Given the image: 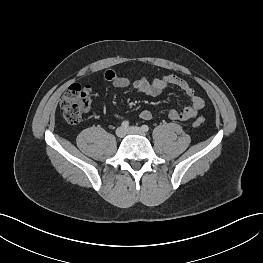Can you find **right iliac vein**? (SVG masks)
Instances as JSON below:
<instances>
[{"instance_id":"1","label":"right iliac vein","mask_w":263,"mask_h":263,"mask_svg":"<svg viewBox=\"0 0 263 263\" xmlns=\"http://www.w3.org/2000/svg\"><path fill=\"white\" fill-rule=\"evenodd\" d=\"M126 134V131L123 127H119L116 129V136L119 138H123Z\"/></svg>"}]
</instances>
